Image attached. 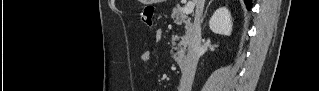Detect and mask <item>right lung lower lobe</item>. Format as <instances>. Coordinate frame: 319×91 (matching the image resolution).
<instances>
[{"instance_id":"98d812e1","label":"right lung lower lobe","mask_w":319,"mask_h":91,"mask_svg":"<svg viewBox=\"0 0 319 91\" xmlns=\"http://www.w3.org/2000/svg\"><path fill=\"white\" fill-rule=\"evenodd\" d=\"M244 2L246 4L247 8L250 9L252 6V1L251 0H244Z\"/></svg>"}]
</instances>
